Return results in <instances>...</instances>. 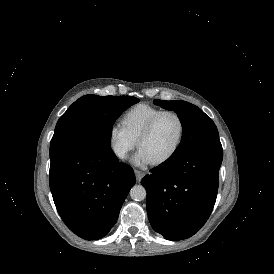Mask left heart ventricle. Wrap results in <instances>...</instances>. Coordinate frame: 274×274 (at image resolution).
Returning a JSON list of instances; mask_svg holds the SVG:
<instances>
[{
    "label": "left heart ventricle",
    "instance_id": "b2bd125f",
    "mask_svg": "<svg viewBox=\"0 0 274 274\" xmlns=\"http://www.w3.org/2000/svg\"><path fill=\"white\" fill-rule=\"evenodd\" d=\"M178 132V119L171 114L164 115L138 149L145 153L150 163L160 160L173 148Z\"/></svg>",
    "mask_w": 274,
    "mask_h": 274
}]
</instances>
